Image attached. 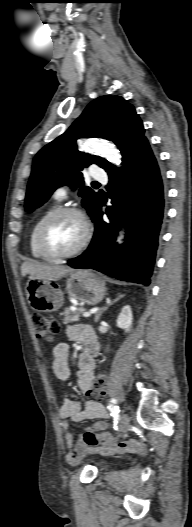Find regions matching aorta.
I'll list each match as a JSON object with an SVG mask.
<instances>
[{
    "label": "aorta",
    "mask_w": 192,
    "mask_h": 527,
    "mask_svg": "<svg viewBox=\"0 0 192 527\" xmlns=\"http://www.w3.org/2000/svg\"><path fill=\"white\" fill-rule=\"evenodd\" d=\"M87 149L91 153L99 154L110 162L119 165L120 164V154L114 145L101 141V140H91L87 143Z\"/></svg>",
    "instance_id": "aorta-1"
}]
</instances>
